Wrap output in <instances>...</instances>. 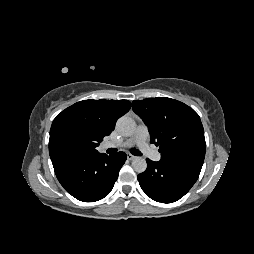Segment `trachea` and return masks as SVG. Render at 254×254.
Returning <instances> with one entry per match:
<instances>
[{
	"label": "trachea",
	"instance_id": "1",
	"mask_svg": "<svg viewBox=\"0 0 254 254\" xmlns=\"http://www.w3.org/2000/svg\"><path fill=\"white\" fill-rule=\"evenodd\" d=\"M115 152H117V149L116 148H109L108 150H107V153H115ZM133 155H135V156H141L142 155V153L139 151V150H137V149H133V150H131L130 151Z\"/></svg>",
	"mask_w": 254,
	"mask_h": 254
}]
</instances>
